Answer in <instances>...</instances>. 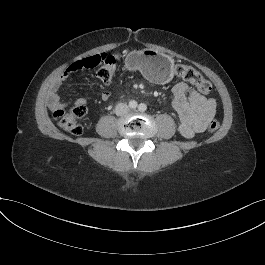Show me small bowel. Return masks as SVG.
Returning a JSON list of instances; mask_svg holds the SVG:
<instances>
[{
	"label": "small bowel",
	"mask_w": 265,
	"mask_h": 265,
	"mask_svg": "<svg viewBox=\"0 0 265 265\" xmlns=\"http://www.w3.org/2000/svg\"><path fill=\"white\" fill-rule=\"evenodd\" d=\"M68 76V72L57 78L48 96L51 109L62 108L64 104L60 101L59 88L62 81ZM173 106L179 118V131L186 138L193 137L196 133L206 130L208 123L216 113V101L211 97L204 96L189 87L185 82H178L173 86ZM111 93L107 90L101 93V99L108 101ZM86 99L79 98L76 105H85Z\"/></svg>",
	"instance_id": "c3829d8e"
}]
</instances>
